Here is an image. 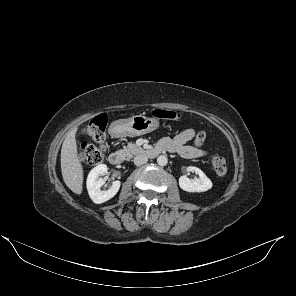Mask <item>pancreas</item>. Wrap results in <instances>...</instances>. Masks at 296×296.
<instances>
[{
    "label": "pancreas",
    "mask_w": 296,
    "mask_h": 296,
    "mask_svg": "<svg viewBox=\"0 0 296 296\" xmlns=\"http://www.w3.org/2000/svg\"><path fill=\"white\" fill-rule=\"evenodd\" d=\"M124 157L127 159L132 158L136 154H140L144 152V149L135 143H129L127 146H125L123 149L119 151Z\"/></svg>",
    "instance_id": "cf45deb5"
}]
</instances>
